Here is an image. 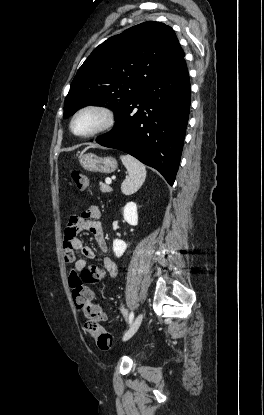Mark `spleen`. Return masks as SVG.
Instances as JSON below:
<instances>
[{"mask_svg": "<svg viewBox=\"0 0 264 415\" xmlns=\"http://www.w3.org/2000/svg\"><path fill=\"white\" fill-rule=\"evenodd\" d=\"M122 163L128 171V176L121 184V191L131 195L139 190L146 178V167L131 155H121Z\"/></svg>", "mask_w": 264, "mask_h": 415, "instance_id": "3e777b00", "label": "spleen"}]
</instances>
